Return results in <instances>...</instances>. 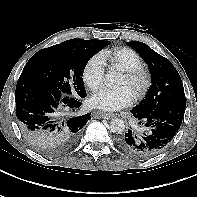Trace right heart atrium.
I'll return each mask as SVG.
<instances>
[{
	"label": "right heart atrium",
	"instance_id": "obj_1",
	"mask_svg": "<svg viewBox=\"0 0 197 197\" xmlns=\"http://www.w3.org/2000/svg\"><path fill=\"white\" fill-rule=\"evenodd\" d=\"M104 62L100 55L91 57L82 72L84 84L91 90L97 89L104 79Z\"/></svg>",
	"mask_w": 197,
	"mask_h": 197
}]
</instances>
